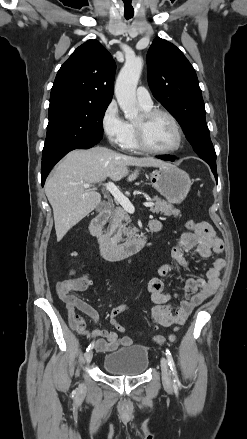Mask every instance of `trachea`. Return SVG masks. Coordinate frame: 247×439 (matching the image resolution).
<instances>
[{"label":"trachea","mask_w":247,"mask_h":439,"mask_svg":"<svg viewBox=\"0 0 247 439\" xmlns=\"http://www.w3.org/2000/svg\"><path fill=\"white\" fill-rule=\"evenodd\" d=\"M125 17H126V19H130V18H132V16H127V15H125Z\"/></svg>","instance_id":"obj_1"}]
</instances>
